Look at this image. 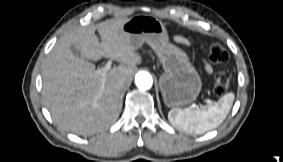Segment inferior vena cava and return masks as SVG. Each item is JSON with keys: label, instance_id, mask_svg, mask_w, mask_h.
<instances>
[{"label": "inferior vena cava", "instance_id": "602c4592", "mask_svg": "<svg viewBox=\"0 0 283 162\" xmlns=\"http://www.w3.org/2000/svg\"><path fill=\"white\" fill-rule=\"evenodd\" d=\"M116 84L119 86V87H124L125 86V79L124 78H120L116 81Z\"/></svg>", "mask_w": 283, "mask_h": 162}]
</instances>
